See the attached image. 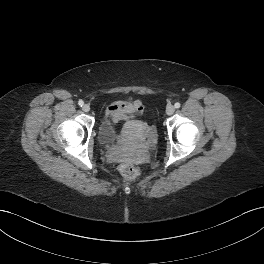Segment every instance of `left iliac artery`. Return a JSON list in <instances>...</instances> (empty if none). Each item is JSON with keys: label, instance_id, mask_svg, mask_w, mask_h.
<instances>
[{"label": "left iliac artery", "instance_id": "left-iliac-artery-1", "mask_svg": "<svg viewBox=\"0 0 264 264\" xmlns=\"http://www.w3.org/2000/svg\"><path fill=\"white\" fill-rule=\"evenodd\" d=\"M174 107H175L176 109L180 108V103H179V102H176V103L174 104Z\"/></svg>", "mask_w": 264, "mask_h": 264}]
</instances>
